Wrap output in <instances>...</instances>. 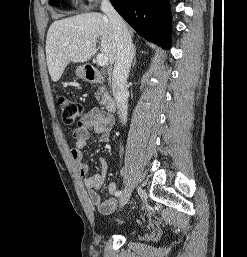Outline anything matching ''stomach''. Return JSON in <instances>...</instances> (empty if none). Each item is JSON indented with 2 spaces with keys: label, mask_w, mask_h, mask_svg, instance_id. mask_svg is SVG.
Masks as SVG:
<instances>
[{
  "label": "stomach",
  "mask_w": 247,
  "mask_h": 257,
  "mask_svg": "<svg viewBox=\"0 0 247 257\" xmlns=\"http://www.w3.org/2000/svg\"><path fill=\"white\" fill-rule=\"evenodd\" d=\"M76 75H77V77H79L81 79L85 78V67L79 66L76 70Z\"/></svg>",
  "instance_id": "stomach-1"
}]
</instances>
